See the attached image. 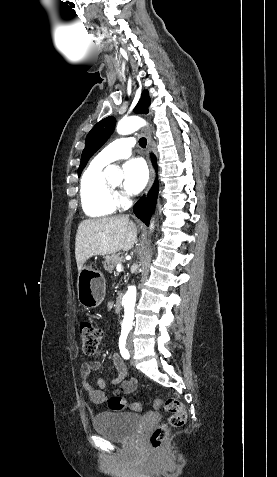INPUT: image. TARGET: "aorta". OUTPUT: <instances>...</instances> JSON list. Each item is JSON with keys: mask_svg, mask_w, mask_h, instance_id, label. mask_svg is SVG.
Masks as SVG:
<instances>
[{"mask_svg": "<svg viewBox=\"0 0 277 477\" xmlns=\"http://www.w3.org/2000/svg\"><path fill=\"white\" fill-rule=\"evenodd\" d=\"M145 124L146 122L142 118L132 116L121 119L117 124L116 130L120 135H127L135 132ZM104 172L107 176L114 178L118 181H121L123 178L122 173L119 172L118 168L114 165L107 166ZM135 301L136 288L134 286H130L125 294L124 299V318L122 322V328L132 327L134 319Z\"/></svg>", "mask_w": 277, "mask_h": 477, "instance_id": "obj_1", "label": "aorta"}]
</instances>
